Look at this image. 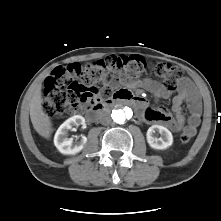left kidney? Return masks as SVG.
<instances>
[{
  "label": "left kidney",
  "mask_w": 221,
  "mask_h": 221,
  "mask_svg": "<svg viewBox=\"0 0 221 221\" xmlns=\"http://www.w3.org/2000/svg\"><path fill=\"white\" fill-rule=\"evenodd\" d=\"M159 132L162 137L157 138L155 133ZM147 142L153 149L163 150L170 147L173 143L172 133L164 126L152 125L146 134Z\"/></svg>",
  "instance_id": "left-kidney-1"
}]
</instances>
